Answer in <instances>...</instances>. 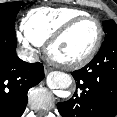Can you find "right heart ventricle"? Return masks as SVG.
<instances>
[{
    "instance_id": "obj_1",
    "label": "right heart ventricle",
    "mask_w": 117,
    "mask_h": 117,
    "mask_svg": "<svg viewBox=\"0 0 117 117\" xmlns=\"http://www.w3.org/2000/svg\"><path fill=\"white\" fill-rule=\"evenodd\" d=\"M84 15L88 14L77 8H36L30 11L24 18L23 29L26 37L31 42L36 45H42L65 23Z\"/></svg>"
}]
</instances>
